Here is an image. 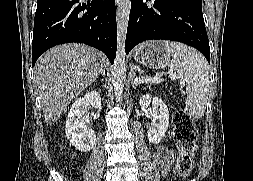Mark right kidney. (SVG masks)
I'll return each mask as SVG.
<instances>
[{"mask_svg":"<svg viewBox=\"0 0 253 181\" xmlns=\"http://www.w3.org/2000/svg\"><path fill=\"white\" fill-rule=\"evenodd\" d=\"M89 105L95 108L100 107L99 92L91 91L84 97L76 99L71 105L65 123L66 137L70 140L71 145L84 153L90 151L96 143V134L94 130L89 129L87 121L84 119Z\"/></svg>","mask_w":253,"mask_h":181,"instance_id":"obj_1","label":"right kidney"}]
</instances>
